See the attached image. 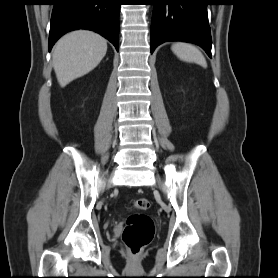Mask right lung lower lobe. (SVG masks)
Returning a JSON list of instances; mask_svg holds the SVG:
<instances>
[{"label":"right lung lower lobe","mask_w":278,"mask_h":278,"mask_svg":"<svg viewBox=\"0 0 278 278\" xmlns=\"http://www.w3.org/2000/svg\"><path fill=\"white\" fill-rule=\"evenodd\" d=\"M49 51L65 33L88 29L108 39L118 51L120 0H55Z\"/></svg>","instance_id":"right-lung-lower-lobe-1"}]
</instances>
